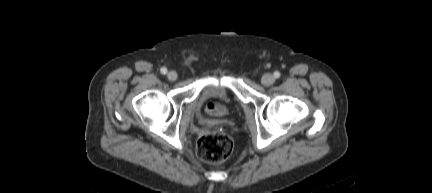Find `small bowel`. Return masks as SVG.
Wrapping results in <instances>:
<instances>
[{
  "label": "small bowel",
  "instance_id": "c3829d8e",
  "mask_svg": "<svg viewBox=\"0 0 432 193\" xmlns=\"http://www.w3.org/2000/svg\"><path fill=\"white\" fill-rule=\"evenodd\" d=\"M207 111H208L209 113H211V114H214V113H218V112H219V109H218L217 107H215V106H209V107L207 108Z\"/></svg>",
  "mask_w": 432,
  "mask_h": 193
}]
</instances>
